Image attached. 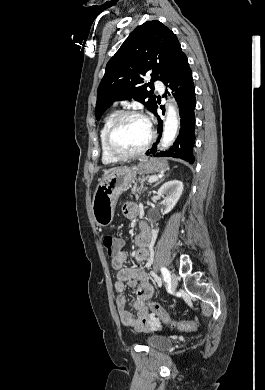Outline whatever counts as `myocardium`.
I'll list each match as a JSON object with an SVG mask.
<instances>
[{
	"label": "myocardium",
	"mask_w": 265,
	"mask_h": 390,
	"mask_svg": "<svg viewBox=\"0 0 265 390\" xmlns=\"http://www.w3.org/2000/svg\"><path fill=\"white\" fill-rule=\"evenodd\" d=\"M130 117L140 118L143 121H145V123L147 124L148 129H149V137H148L147 142L144 144V146L141 147L139 150L127 153V152H122L116 148V146L114 144V133H115L116 129L118 128V126L125 119L130 118ZM154 139H155V133H154V130L152 129L150 123L148 122L147 118L143 114H141L137 111H133V110H126V111H122V112L118 113V115L115 117V119L111 123V125L106 133V138H105L108 151L110 152V154H112L114 157H116L119 160L130 159V158H134V157H137V156L144 154L150 148Z\"/></svg>",
	"instance_id": "1"
}]
</instances>
